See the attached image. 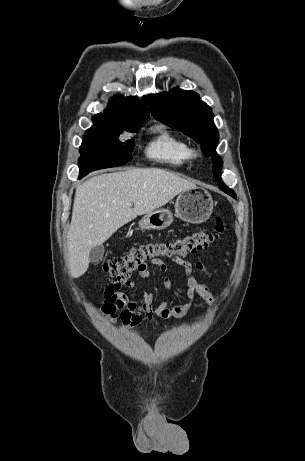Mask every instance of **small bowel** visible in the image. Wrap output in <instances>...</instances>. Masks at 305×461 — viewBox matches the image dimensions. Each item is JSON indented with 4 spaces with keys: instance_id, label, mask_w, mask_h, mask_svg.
<instances>
[{
    "instance_id": "c3829d8e",
    "label": "small bowel",
    "mask_w": 305,
    "mask_h": 461,
    "mask_svg": "<svg viewBox=\"0 0 305 461\" xmlns=\"http://www.w3.org/2000/svg\"><path fill=\"white\" fill-rule=\"evenodd\" d=\"M175 264L182 267L187 276V302L180 305L171 306L169 301L160 303L157 307L153 306L154 295L151 291H143L138 294V300L133 301L134 291L137 287L133 279H126L109 284L103 291V302L101 312L109 319L112 325L117 319H120L126 325H137L147 318L153 322L156 318L169 319L187 314L196 297L201 298L207 305L208 311L213 310L215 297L207 284L198 283L193 277V271L196 269L209 276V272L201 261L194 263L184 260L180 257L171 259ZM162 273L167 271V265L162 262L154 263ZM136 276L142 280L150 278V272L145 268L137 271ZM162 285L168 291L172 290V283L168 277H163Z\"/></svg>"
}]
</instances>
